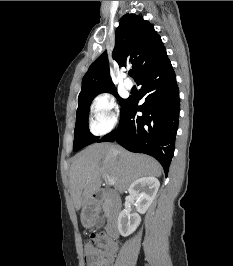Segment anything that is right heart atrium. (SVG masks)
<instances>
[{
	"mask_svg": "<svg viewBox=\"0 0 233 266\" xmlns=\"http://www.w3.org/2000/svg\"><path fill=\"white\" fill-rule=\"evenodd\" d=\"M118 117L116 98L107 92L98 94L91 103V132L95 135L108 133L117 125Z\"/></svg>",
	"mask_w": 233,
	"mask_h": 266,
	"instance_id": "1",
	"label": "right heart atrium"
}]
</instances>
